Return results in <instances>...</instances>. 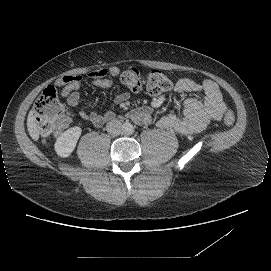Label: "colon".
<instances>
[{"instance_id": "1", "label": "colon", "mask_w": 271, "mask_h": 271, "mask_svg": "<svg viewBox=\"0 0 271 271\" xmlns=\"http://www.w3.org/2000/svg\"><path fill=\"white\" fill-rule=\"evenodd\" d=\"M122 84L129 90L136 92L141 88L140 72L135 67H129L121 74ZM146 91L150 95H158L171 90L173 82L169 76L160 70L149 72L146 80ZM66 107L57 99L56 89L47 86L37 98L34 105L33 122L43 136L50 135L54 131L64 129L68 124ZM224 122L232 126L235 116L227 110L224 113Z\"/></svg>"}]
</instances>
